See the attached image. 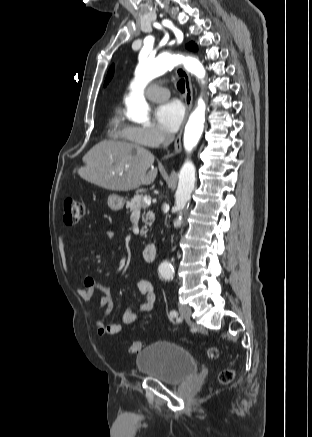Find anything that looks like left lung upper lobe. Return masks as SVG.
I'll use <instances>...</instances> for the list:
<instances>
[{
	"label": "left lung upper lobe",
	"instance_id": "obj_1",
	"mask_svg": "<svg viewBox=\"0 0 312 437\" xmlns=\"http://www.w3.org/2000/svg\"><path fill=\"white\" fill-rule=\"evenodd\" d=\"M187 48H188V49H191V50H195V49H196V46L194 45V43H189V44L187 45Z\"/></svg>",
	"mask_w": 312,
	"mask_h": 437
}]
</instances>
